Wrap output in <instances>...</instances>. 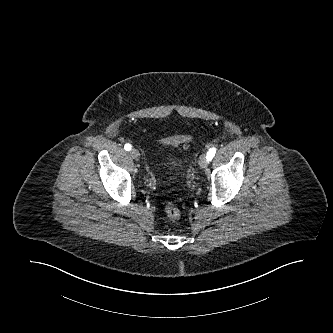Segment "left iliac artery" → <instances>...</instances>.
<instances>
[{"mask_svg":"<svg viewBox=\"0 0 333 333\" xmlns=\"http://www.w3.org/2000/svg\"><path fill=\"white\" fill-rule=\"evenodd\" d=\"M215 153H216V148L215 147H212V148L209 149V151L207 152V155H206V158H207L208 162L212 160Z\"/></svg>","mask_w":333,"mask_h":333,"instance_id":"left-iliac-artery-1","label":"left iliac artery"}]
</instances>
